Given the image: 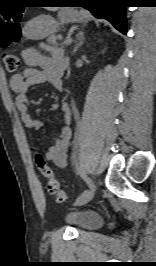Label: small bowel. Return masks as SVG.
I'll return each mask as SVG.
<instances>
[{
  "label": "small bowel",
  "instance_id": "obj_1",
  "mask_svg": "<svg viewBox=\"0 0 156 266\" xmlns=\"http://www.w3.org/2000/svg\"><path fill=\"white\" fill-rule=\"evenodd\" d=\"M26 68L10 78L9 85L15 94V106L21 115L24 125L32 130L41 129L44 124L41 120L29 113L27 92L29 87L49 83L56 90L62 91L63 73L67 61L60 50H51V55H44L35 48H26L21 53ZM63 128L53 138V144L44 155L46 161H52L57 167L67 165V151L72 137V111L67 103L61 105Z\"/></svg>",
  "mask_w": 156,
  "mask_h": 266
}]
</instances>
